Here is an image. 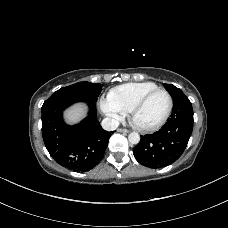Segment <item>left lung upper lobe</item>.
Wrapping results in <instances>:
<instances>
[{
	"mask_svg": "<svg viewBox=\"0 0 228 228\" xmlns=\"http://www.w3.org/2000/svg\"><path fill=\"white\" fill-rule=\"evenodd\" d=\"M166 89L170 92L172 98H173V103L178 102L179 100L186 98L184 93L177 87L171 84H164Z\"/></svg>",
	"mask_w": 228,
	"mask_h": 228,
	"instance_id": "obj_1",
	"label": "left lung upper lobe"
}]
</instances>
